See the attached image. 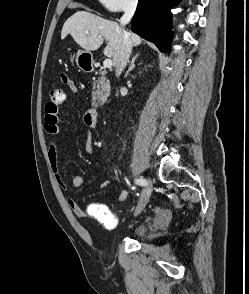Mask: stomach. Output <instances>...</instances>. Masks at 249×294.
I'll list each match as a JSON object with an SVG mask.
<instances>
[{"label": "stomach", "instance_id": "1", "mask_svg": "<svg viewBox=\"0 0 249 294\" xmlns=\"http://www.w3.org/2000/svg\"><path fill=\"white\" fill-rule=\"evenodd\" d=\"M76 63L83 69L86 65L92 63V54L88 51L79 50L76 54Z\"/></svg>", "mask_w": 249, "mask_h": 294}]
</instances>
